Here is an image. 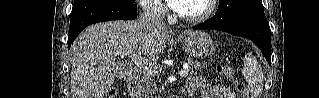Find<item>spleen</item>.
<instances>
[{
  "instance_id": "3e777b00",
  "label": "spleen",
  "mask_w": 319,
  "mask_h": 98,
  "mask_svg": "<svg viewBox=\"0 0 319 98\" xmlns=\"http://www.w3.org/2000/svg\"><path fill=\"white\" fill-rule=\"evenodd\" d=\"M242 73L248 83L249 91L254 98H261L263 90V71L252 54H246Z\"/></svg>"
}]
</instances>
